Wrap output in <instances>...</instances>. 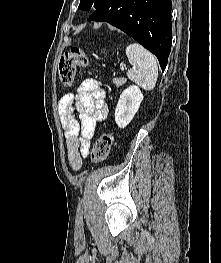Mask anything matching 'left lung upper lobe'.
<instances>
[{"instance_id": "obj_1", "label": "left lung upper lobe", "mask_w": 221, "mask_h": 263, "mask_svg": "<svg viewBox=\"0 0 221 263\" xmlns=\"http://www.w3.org/2000/svg\"><path fill=\"white\" fill-rule=\"evenodd\" d=\"M104 1L105 0H81L78 8L88 11L92 5L98 8Z\"/></svg>"}]
</instances>
